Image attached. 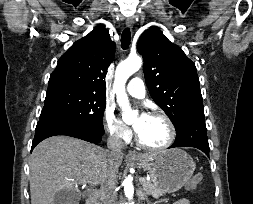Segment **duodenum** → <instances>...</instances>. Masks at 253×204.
<instances>
[{
	"label": "duodenum",
	"instance_id": "1",
	"mask_svg": "<svg viewBox=\"0 0 253 204\" xmlns=\"http://www.w3.org/2000/svg\"><path fill=\"white\" fill-rule=\"evenodd\" d=\"M100 196V192L97 190H92L87 199H86V203L85 204H98V199Z\"/></svg>",
	"mask_w": 253,
	"mask_h": 204
}]
</instances>
